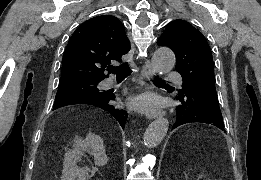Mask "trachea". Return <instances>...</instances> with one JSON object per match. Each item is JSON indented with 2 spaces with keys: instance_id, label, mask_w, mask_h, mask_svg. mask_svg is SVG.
I'll return each mask as SVG.
<instances>
[{
  "instance_id": "trachea-1",
  "label": "trachea",
  "mask_w": 261,
  "mask_h": 180,
  "mask_svg": "<svg viewBox=\"0 0 261 180\" xmlns=\"http://www.w3.org/2000/svg\"><path fill=\"white\" fill-rule=\"evenodd\" d=\"M108 71L115 73L117 79H124L129 77L132 73L128 63H122L119 67H108ZM152 81L156 84H166L164 80H161L159 77L155 76L152 78Z\"/></svg>"
}]
</instances>
